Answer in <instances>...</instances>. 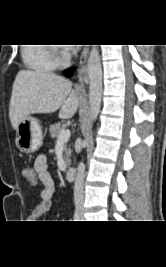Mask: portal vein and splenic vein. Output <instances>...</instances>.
I'll use <instances>...</instances> for the list:
<instances>
[{
	"label": "portal vein and splenic vein",
	"instance_id": "portal-vein-and-splenic-vein-1",
	"mask_svg": "<svg viewBox=\"0 0 166 267\" xmlns=\"http://www.w3.org/2000/svg\"><path fill=\"white\" fill-rule=\"evenodd\" d=\"M70 135H71V133H70L69 129L60 132V134L57 138V143H64V142L68 141V139L70 138Z\"/></svg>",
	"mask_w": 166,
	"mask_h": 267
}]
</instances>
